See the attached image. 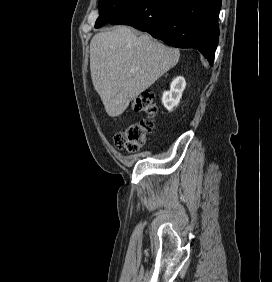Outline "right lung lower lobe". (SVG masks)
Segmentation results:
<instances>
[{
  "mask_svg": "<svg viewBox=\"0 0 272 282\" xmlns=\"http://www.w3.org/2000/svg\"><path fill=\"white\" fill-rule=\"evenodd\" d=\"M221 0H136L109 23L133 26L170 46L199 50L213 65Z\"/></svg>",
  "mask_w": 272,
  "mask_h": 282,
  "instance_id": "right-lung-lower-lobe-1",
  "label": "right lung lower lobe"
}]
</instances>
